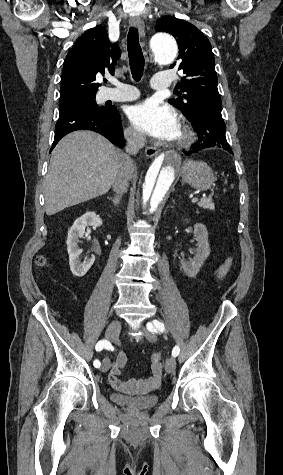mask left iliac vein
<instances>
[{"mask_svg": "<svg viewBox=\"0 0 283 475\" xmlns=\"http://www.w3.org/2000/svg\"><path fill=\"white\" fill-rule=\"evenodd\" d=\"M142 330L144 331L145 333V337L146 339H148V341H150L151 343L153 342H156L157 340V337L156 335L154 334L153 331H147L145 328H142ZM176 369V361H175V358L173 357H170L168 358L166 361H165V371L169 374L173 373Z\"/></svg>", "mask_w": 283, "mask_h": 475, "instance_id": "left-iliac-vein-1", "label": "left iliac vein"}]
</instances>
